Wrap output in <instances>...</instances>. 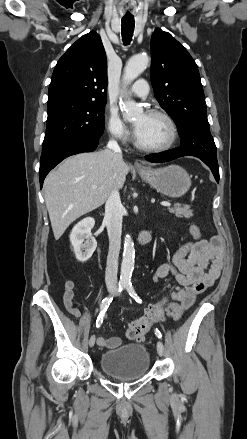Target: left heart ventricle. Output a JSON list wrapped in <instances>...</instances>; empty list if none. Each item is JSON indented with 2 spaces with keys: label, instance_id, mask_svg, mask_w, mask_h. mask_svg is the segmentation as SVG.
<instances>
[{
  "label": "left heart ventricle",
  "instance_id": "b2bd125f",
  "mask_svg": "<svg viewBox=\"0 0 247 439\" xmlns=\"http://www.w3.org/2000/svg\"><path fill=\"white\" fill-rule=\"evenodd\" d=\"M134 125L138 140L146 146L163 145L169 139V126L161 117L142 114L136 118Z\"/></svg>",
  "mask_w": 247,
  "mask_h": 439
}]
</instances>
